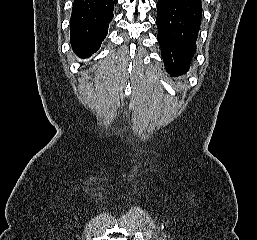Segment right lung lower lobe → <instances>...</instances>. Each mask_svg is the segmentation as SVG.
Listing matches in <instances>:
<instances>
[{
  "mask_svg": "<svg viewBox=\"0 0 257 240\" xmlns=\"http://www.w3.org/2000/svg\"><path fill=\"white\" fill-rule=\"evenodd\" d=\"M118 0H74L70 19L71 46L81 58L96 52L105 39Z\"/></svg>",
  "mask_w": 257,
  "mask_h": 240,
  "instance_id": "right-lung-lower-lobe-1",
  "label": "right lung lower lobe"
}]
</instances>
